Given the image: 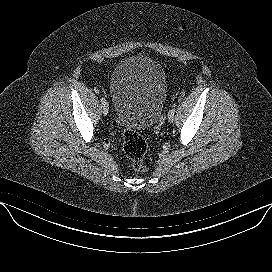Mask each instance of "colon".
<instances>
[{
	"mask_svg": "<svg viewBox=\"0 0 272 272\" xmlns=\"http://www.w3.org/2000/svg\"><path fill=\"white\" fill-rule=\"evenodd\" d=\"M147 149L146 140L137 131L126 130L123 133V150L134 171L145 172L148 169L144 161Z\"/></svg>",
	"mask_w": 272,
	"mask_h": 272,
	"instance_id": "obj_1",
	"label": "colon"
}]
</instances>
